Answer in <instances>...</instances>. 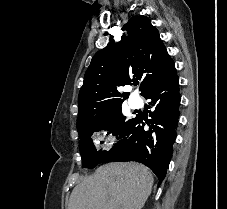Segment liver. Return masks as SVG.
<instances>
[{
	"label": "liver",
	"instance_id": "liver-1",
	"mask_svg": "<svg viewBox=\"0 0 227 209\" xmlns=\"http://www.w3.org/2000/svg\"><path fill=\"white\" fill-rule=\"evenodd\" d=\"M153 175L138 163H109L73 189L68 209H142Z\"/></svg>",
	"mask_w": 227,
	"mask_h": 209
}]
</instances>
